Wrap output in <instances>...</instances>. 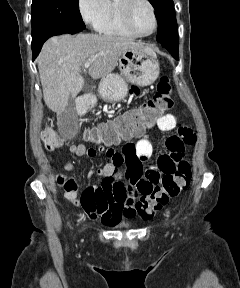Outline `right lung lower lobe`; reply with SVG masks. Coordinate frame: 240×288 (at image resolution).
<instances>
[{"mask_svg": "<svg viewBox=\"0 0 240 288\" xmlns=\"http://www.w3.org/2000/svg\"><path fill=\"white\" fill-rule=\"evenodd\" d=\"M80 31H82V30L81 29H72V28H57V29H53V30L48 31L46 34L43 35V37L36 44L32 45L33 60L39 54L44 42L48 38H50L51 36L65 34V33L75 34V33L80 32Z\"/></svg>", "mask_w": 240, "mask_h": 288, "instance_id": "right-lung-lower-lobe-1", "label": "right lung lower lobe"}]
</instances>
